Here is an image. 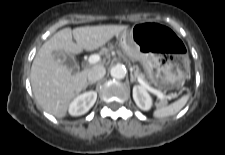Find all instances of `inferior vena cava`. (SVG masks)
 Wrapping results in <instances>:
<instances>
[{"instance_id": "obj_1", "label": "inferior vena cava", "mask_w": 225, "mask_h": 155, "mask_svg": "<svg viewBox=\"0 0 225 155\" xmlns=\"http://www.w3.org/2000/svg\"><path fill=\"white\" fill-rule=\"evenodd\" d=\"M106 74V69L104 68V66L102 65H97L92 67L88 74H87V78L89 80V82H96L98 80H100L101 78H103Z\"/></svg>"}]
</instances>
